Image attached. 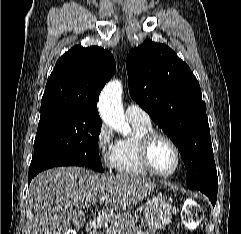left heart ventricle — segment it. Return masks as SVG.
<instances>
[{
	"instance_id": "1",
	"label": "left heart ventricle",
	"mask_w": 241,
	"mask_h": 234,
	"mask_svg": "<svg viewBox=\"0 0 241 234\" xmlns=\"http://www.w3.org/2000/svg\"><path fill=\"white\" fill-rule=\"evenodd\" d=\"M151 160L160 172H170L176 164V154L172 146L165 140H157L151 149Z\"/></svg>"
}]
</instances>
